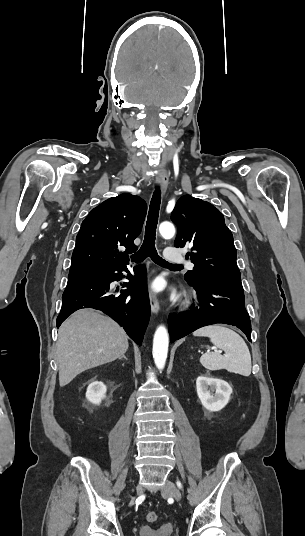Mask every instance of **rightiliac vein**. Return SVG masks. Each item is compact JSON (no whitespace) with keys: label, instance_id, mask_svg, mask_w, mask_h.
Returning <instances> with one entry per match:
<instances>
[{"label":"right iliac vein","instance_id":"right-iliac-vein-1","mask_svg":"<svg viewBox=\"0 0 305 536\" xmlns=\"http://www.w3.org/2000/svg\"><path fill=\"white\" fill-rule=\"evenodd\" d=\"M140 492H141V486L138 485V486H137V493H140Z\"/></svg>","mask_w":305,"mask_h":536}]
</instances>
